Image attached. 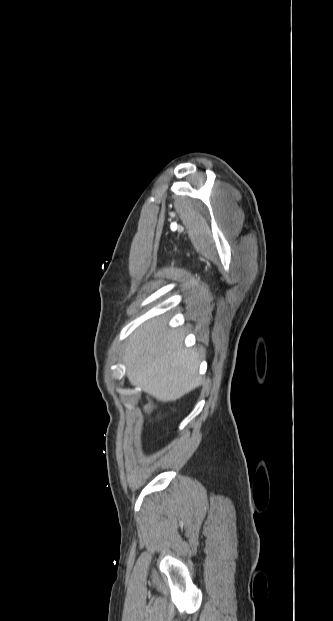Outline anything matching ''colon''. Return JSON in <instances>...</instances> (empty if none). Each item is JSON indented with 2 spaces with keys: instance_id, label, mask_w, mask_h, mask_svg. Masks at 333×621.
<instances>
[{
  "instance_id": "5ec220e1",
  "label": "colon",
  "mask_w": 333,
  "mask_h": 621,
  "mask_svg": "<svg viewBox=\"0 0 333 621\" xmlns=\"http://www.w3.org/2000/svg\"><path fill=\"white\" fill-rule=\"evenodd\" d=\"M146 414L149 418H152L156 414V407L154 405H148L146 408Z\"/></svg>"
}]
</instances>
